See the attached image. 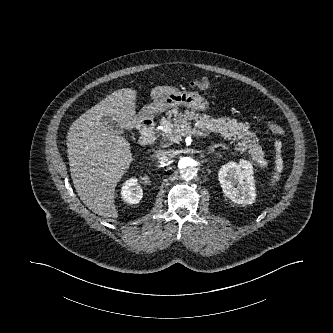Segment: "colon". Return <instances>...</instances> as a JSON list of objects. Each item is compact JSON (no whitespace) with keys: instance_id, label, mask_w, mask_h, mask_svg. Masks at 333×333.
Masks as SVG:
<instances>
[{"instance_id":"1","label":"colon","mask_w":333,"mask_h":333,"mask_svg":"<svg viewBox=\"0 0 333 333\" xmlns=\"http://www.w3.org/2000/svg\"><path fill=\"white\" fill-rule=\"evenodd\" d=\"M190 86L197 90H207L211 87V83L206 78H198L191 81ZM268 129L277 136H282L284 134V129L274 122H268Z\"/></svg>"}]
</instances>
